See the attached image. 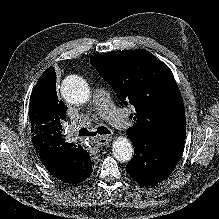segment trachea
Returning <instances> with one entry per match:
<instances>
[{
	"label": "trachea",
	"instance_id": "obj_1",
	"mask_svg": "<svg viewBox=\"0 0 219 219\" xmlns=\"http://www.w3.org/2000/svg\"><path fill=\"white\" fill-rule=\"evenodd\" d=\"M97 133L100 135H106V134H110L111 132L108 128L103 127V126L98 127L96 132H90L86 128H81L79 130V136H82V137L83 136H96Z\"/></svg>",
	"mask_w": 219,
	"mask_h": 219
}]
</instances>
